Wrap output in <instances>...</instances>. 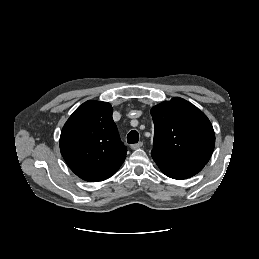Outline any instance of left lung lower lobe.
Returning a JSON list of instances; mask_svg holds the SVG:
<instances>
[{"mask_svg":"<svg viewBox=\"0 0 259 259\" xmlns=\"http://www.w3.org/2000/svg\"><path fill=\"white\" fill-rule=\"evenodd\" d=\"M160 170L170 178L182 180L194 176L200 172L204 164L183 163L163 159L158 156H152Z\"/></svg>","mask_w":259,"mask_h":259,"instance_id":"obj_1","label":"left lung lower lobe"}]
</instances>
